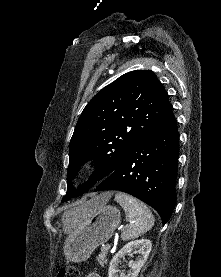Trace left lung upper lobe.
Wrapping results in <instances>:
<instances>
[{
    "label": "left lung upper lobe",
    "mask_w": 221,
    "mask_h": 277,
    "mask_svg": "<svg viewBox=\"0 0 221 277\" xmlns=\"http://www.w3.org/2000/svg\"><path fill=\"white\" fill-rule=\"evenodd\" d=\"M172 110L153 71H132L101 89L86 105L70 141L68 190L62 202L82 195L109 176L128 151ZM95 159L96 170L74 190L80 165Z\"/></svg>",
    "instance_id": "obj_1"
}]
</instances>
